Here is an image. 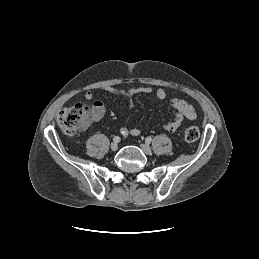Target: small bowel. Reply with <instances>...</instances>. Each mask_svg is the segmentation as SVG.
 I'll use <instances>...</instances> for the list:
<instances>
[{"label": "small bowel", "instance_id": "small-bowel-1", "mask_svg": "<svg viewBox=\"0 0 259 259\" xmlns=\"http://www.w3.org/2000/svg\"><path fill=\"white\" fill-rule=\"evenodd\" d=\"M102 90L114 94L120 98L128 99V103L126 105L127 111H130L133 108L132 99L134 96L140 94H150L153 92V88L150 86H139L126 89H118L111 86H105L102 88ZM155 96L159 100H164L166 98V91L162 88H159L155 91ZM84 97L86 100L91 101L94 98V94L92 91H87ZM171 105L176 111V114L173 120L163 125L164 130L168 132H174L184 123L185 120H193L196 118V111L194 107L184 99L174 98L171 100ZM93 107L94 119L99 120L104 114L103 104L100 101H95ZM140 132L141 131L138 128L122 127L120 129V133L123 137H127L130 135L138 136Z\"/></svg>", "mask_w": 259, "mask_h": 259}]
</instances>
